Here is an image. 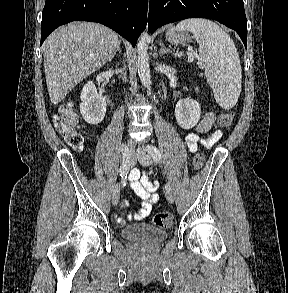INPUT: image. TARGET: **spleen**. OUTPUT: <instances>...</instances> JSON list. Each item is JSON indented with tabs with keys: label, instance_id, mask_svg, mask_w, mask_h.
I'll return each instance as SVG.
<instances>
[{
	"label": "spleen",
	"instance_id": "obj_1",
	"mask_svg": "<svg viewBox=\"0 0 288 293\" xmlns=\"http://www.w3.org/2000/svg\"><path fill=\"white\" fill-rule=\"evenodd\" d=\"M178 31H190L199 43V55L204 62L207 82L217 103L232 108L240 95L242 70L239 54L230 36L215 22L186 19L176 26Z\"/></svg>",
	"mask_w": 288,
	"mask_h": 293
}]
</instances>
